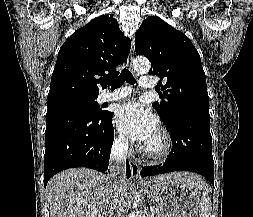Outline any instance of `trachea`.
<instances>
[{
  "instance_id": "trachea-1",
  "label": "trachea",
  "mask_w": 253,
  "mask_h": 217,
  "mask_svg": "<svg viewBox=\"0 0 253 217\" xmlns=\"http://www.w3.org/2000/svg\"><path fill=\"white\" fill-rule=\"evenodd\" d=\"M125 81L129 84H132V85H134L136 83L135 78L133 77L131 72L126 68L121 72V74L118 77H116L112 80H109L107 83L111 87V90H115V89L121 87V85Z\"/></svg>"
}]
</instances>
